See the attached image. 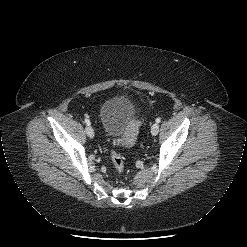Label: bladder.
Here are the masks:
<instances>
[{"mask_svg":"<svg viewBox=\"0 0 247 247\" xmlns=\"http://www.w3.org/2000/svg\"><path fill=\"white\" fill-rule=\"evenodd\" d=\"M99 118L105 135L116 144L129 148L135 142L137 108L128 98L116 96L100 107Z\"/></svg>","mask_w":247,"mask_h":247,"instance_id":"31cf9c89","label":"bladder"}]
</instances>
